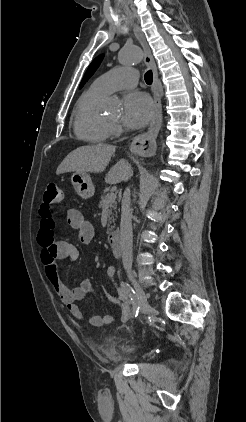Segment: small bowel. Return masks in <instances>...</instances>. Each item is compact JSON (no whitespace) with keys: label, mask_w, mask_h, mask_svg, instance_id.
Returning a JSON list of instances; mask_svg holds the SVG:
<instances>
[{"label":"small bowel","mask_w":246,"mask_h":422,"mask_svg":"<svg viewBox=\"0 0 246 422\" xmlns=\"http://www.w3.org/2000/svg\"><path fill=\"white\" fill-rule=\"evenodd\" d=\"M40 227L38 231V242L42 248L41 259L45 267L46 275L60 298L65 305L68 312L77 319H82L83 314L77 305V302L84 299L88 294L94 293V287L87 280H82L77 286L73 288L67 287L60 275L58 261L68 260L75 262L79 258L78 249L67 241H57L54 236L55 220L50 208L42 205L40 210ZM66 219L70 227L77 232L78 240L83 244H88L92 241L95 235L94 227L87 221L83 214L76 209H69L66 214ZM106 274L110 282L117 291V296H113L102 286L106 296L120 308V318L122 322H126L131 316V308L128 296L118 286L115 274L116 269L113 265L106 268ZM114 321V316L93 315L89 319V323L94 327H102L110 325Z\"/></svg>","instance_id":"obj_1"}]
</instances>
